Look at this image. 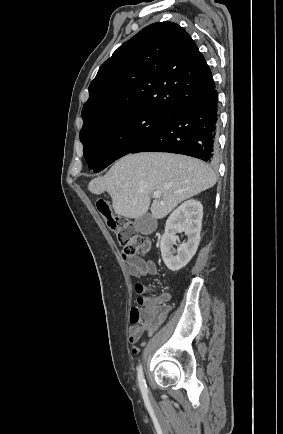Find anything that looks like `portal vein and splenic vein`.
Instances as JSON below:
<instances>
[{
  "mask_svg": "<svg viewBox=\"0 0 283 434\" xmlns=\"http://www.w3.org/2000/svg\"><path fill=\"white\" fill-rule=\"evenodd\" d=\"M161 196V192L160 191H154L153 192V197L154 198H159Z\"/></svg>",
  "mask_w": 283,
  "mask_h": 434,
  "instance_id": "18ae733b",
  "label": "portal vein and splenic vein"
}]
</instances>
